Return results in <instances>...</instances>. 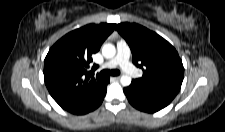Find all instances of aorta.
Listing matches in <instances>:
<instances>
[{
	"label": "aorta",
	"instance_id": "1",
	"mask_svg": "<svg viewBox=\"0 0 225 132\" xmlns=\"http://www.w3.org/2000/svg\"><path fill=\"white\" fill-rule=\"evenodd\" d=\"M116 54V48L113 44H105L102 47V55L107 58L111 59L115 56ZM121 85L122 86H129L131 84V77L128 75H122L120 79Z\"/></svg>",
	"mask_w": 225,
	"mask_h": 132
}]
</instances>
